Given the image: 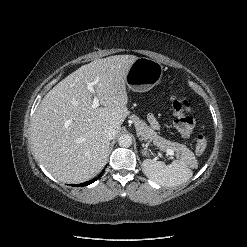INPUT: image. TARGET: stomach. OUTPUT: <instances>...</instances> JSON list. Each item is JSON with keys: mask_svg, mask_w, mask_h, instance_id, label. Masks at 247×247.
<instances>
[{"mask_svg": "<svg viewBox=\"0 0 247 247\" xmlns=\"http://www.w3.org/2000/svg\"><path fill=\"white\" fill-rule=\"evenodd\" d=\"M163 81V66L156 60L139 57L131 65L126 84L135 92H146Z\"/></svg>", "mask_w": 247, "mask_h": 247, "instance_id": "stomach-1", "label": "stomach"}]
</instances>
